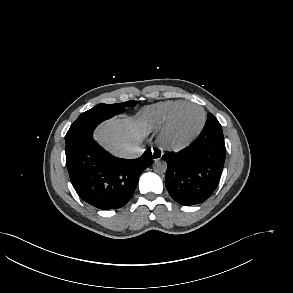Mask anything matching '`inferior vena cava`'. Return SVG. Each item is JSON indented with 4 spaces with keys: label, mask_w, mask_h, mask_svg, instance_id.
<instances>
[{
    "label": "inferior vena cava",
    "mask_w": 293,
    "mask_h": 293,
    "mask_svg": "<svg viewBox=\"0 0 293 293\" xmlns=\"http://www.w3.org/2000/svg\"><path fill=\"white\" fill-rule=\"evenodd\" d=\"M144 152V148L139 145H135L132 147L127 148L124 152L122 157L127 159H134L140 157Z\"/></svg>",
    "instance_id": "1"
}]
</instances>
